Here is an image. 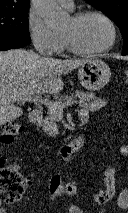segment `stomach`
<instances>
[{"instance_id": "0dacf381", "label": "stomach", "mask_w": 128, "mask_h": 213, "mask_svg": "<svg viewBox=\"0 0 128 213\" xmlns=\"http://www.w3.org/2000/svg\"><path fill=\"white\" fill-rule=\"evenodd\" d=\"M111 77L110 68L101 60H87L78 70L81 85L91 91L103 88Z\"/></svg>"}]
</instances>
